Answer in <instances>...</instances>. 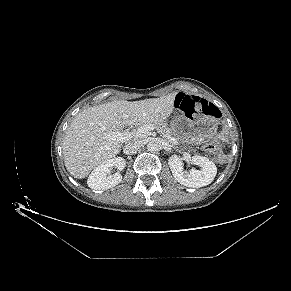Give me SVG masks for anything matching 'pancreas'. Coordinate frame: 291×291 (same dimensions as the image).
Here are the masks:
<instances>
[{"mask_svg":"<svg viewBox=\"0 0 291 291\" xmlns=\"http://www.w3.org/2000/svg\"><path fill=\"white\" fill-rule=\"evenodd\" d=\"M145 125H152L154 129L165 139H167V136H172V131L166 121L164 120H155V121H150V122H145L141 124L140 126H145Z\"/></svg>","mask_w":291,"mask_h":291,"instance_id":"cf45deb5","label":"pancreas"}]
</instances>
